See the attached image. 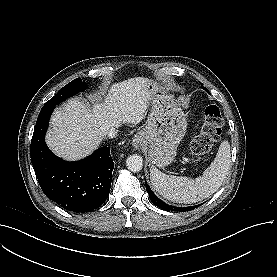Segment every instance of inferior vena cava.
I'll return each mask as SVG.
<instances>
[{
    "label": "inferior vena cava",
    "mask_w": 277,
    "mask_h": 277,
    "mask_svg": "<svg viewBox=\"0 0 277 277\" xmlns=\"http://www.w3.org/2000/svg\"><path fill=\"white\" fill-rule=\"evenodd\" d=\"M117 132L115 130V128H112L109 132H108V137L109 138H114L116 136Z\"/></svg>",
    "instance_id": "602c4592"
}]
</instances>
